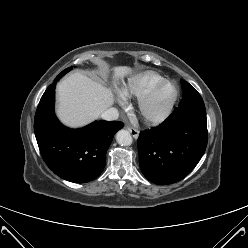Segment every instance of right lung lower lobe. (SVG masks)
Masks as SVG:
<instances>
[{"label":"right lung lower lobe","mask_w":248,"mask_h":248,"mask_svg":"<svg viewBox=\"0 0 248 248\" xmlns=\"http://www.w3.org/2000/svg\"><path fill=\"white\" fill-rule=\"evenodd\" d=\"M55 92L41 98L34 120L36 140L47 166L59 177L75 183L97 178L105 167L106 151L117 121H95L81 129L63 126L54 114Z\"/></svg>","instance_id":"1"}]
</instances>
